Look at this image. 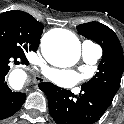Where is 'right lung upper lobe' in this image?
I'll list each match as a JSON object with an SVG mask.
<instances>
[{"label": "right lung upper lobe", "instance_id": "right-lung-upper-lobe-1", "mask_svg": "<svg viewBox=\"0 0 124 124\" xmlns=\"http://www.w3.org/2000/svg\"><path fill=\"white\" fill-rule=\"evenodd\" d=\"M6 13L12 14L22 20L23 22L27 23L30 29L33 32V35H36L39 37V41L41 38V34L43 31V24L38 22L36 19H34L31 15L23 12V11H18V10H13V11H7Z\"/></svg>", "mask_w": 124, "mask_h": 124}]
</instances>
